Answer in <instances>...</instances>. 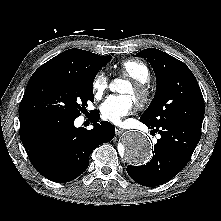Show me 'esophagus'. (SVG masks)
I'll return each mask as SVG.
<instances>
[{
  "instance_id": "34e87169",
  "label": "esophagus",
  "mask_w": 221,
  "mask_h": 221,
  "mask_svg": "<svg viewBox=\"0 0 221 221\" xmlns=\"http://www.w3.org/2000/svg\"><path fill=\"white\" fill-rule=\"evenodd\" d=\"M115 132H116L117 135H121V134H123L125 131H124L123 129H121V128H116V129H115Z\"/></svg>"
}]
</instances>
